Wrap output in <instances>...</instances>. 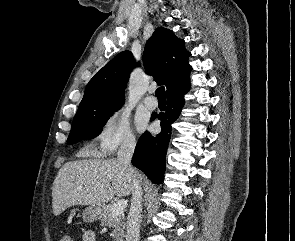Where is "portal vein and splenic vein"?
Returning <instances> with one entry per match:
<instances>
[{
  "label": "portal vein and splenic vein",
  "instance_id": "obj_1",
  "mask_svg": "<svg viewBox=\"0 0 295 241\" xmlns=\"http://www.w3.org/2000/svg\"><path fill=\"white\" fill-rule=\"evenodd\" d=\"M126 207H127V200H120L116 204H114L112 208V214L114 216L123 214Z\"/></svg>",
  "mask_w": 295,
  "mask_h": 241
}]
</instances>
